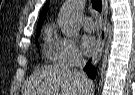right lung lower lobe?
Returning a JSON list of instances; mask_svg holds the SVG:
<instances>
[{
	"label": "right lung lower lobe",
	"instance_id": "98d812e1",
	"mask_svg": "<svg viewBox=\"0 0 135 95\" xmlns=\"http://www.w3.org/2000/svg\"><path fill=\"white\" fill-rule=\"evenodd\" d=\"M84 71L87 73V75L91 78L94 79L95 75H96V69L91 65V61H89L85 68Z\"/></svg>",
	"mask_w": 135,
	"mask_h": 95
}]
</instances>
